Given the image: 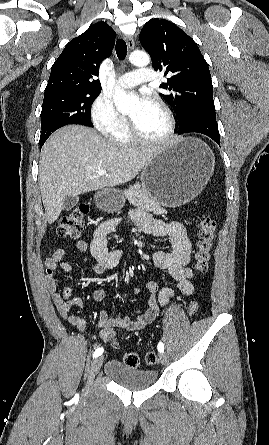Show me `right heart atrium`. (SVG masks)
Returning <instances> with one entry per match:
<instances>
[{
    "label": "right heart atrium",
    "mask_w": 269,
    "mask_h": 445,
    "mask_svg": "<svg viewBox=\"0 0 269 445\" xmlns=\"http://www.w3.org/2000/svg\"><path fill=\"white\" fill-rule=\"evenodd\" d=\"M90 116L94 127L105 135H110L127 125L126 118L118 112L113 99L106 94H100L94 99Z\"/></svg>",
    "instance_id": "obj_1"
}]
</instances>
